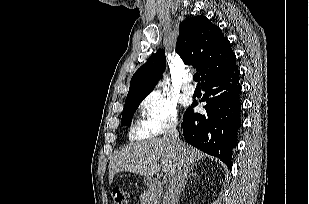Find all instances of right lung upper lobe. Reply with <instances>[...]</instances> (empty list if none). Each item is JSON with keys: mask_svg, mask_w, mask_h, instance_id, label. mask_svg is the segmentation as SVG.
<instances>
[{"mask_svg": "<svg viewBox=\"0 0 309 204\" xmlns=\"http://www.w3.org/2000/svg\"><path fill=\"white\" fill-rule=\"evenodd\" d=\"M176 52L185 64L197 69L203 81L236 64L230 42L205 16H195L180 23ZM165 66V51L160 49L133 75L126 101L145 98L154 89Z\"/></svg>", "mask_w": 309, "mask_h": 204, "instance_id": "cb5924a9", "label": "right lung upper lobe"}]
</instances>
